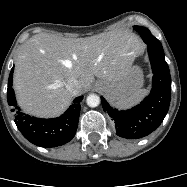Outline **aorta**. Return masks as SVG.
Here are the masks:
<instances>
[{
  "label": "aorta",
  "instance_id": "762f6f07",
  "mask_svg": "<svg viewBox=\"0 0 187 187\" xmlns=\"http://www.w3.org/2000/svg\"><path fill=\"white\" fill-rule=\"evenodd\" d=\"M86 102L89 107H97L100 104V97L96 94H90L88 95Z\"/></svg>",
  "mask_w": 187,
  "mask_h": 187
}]
</instances>
